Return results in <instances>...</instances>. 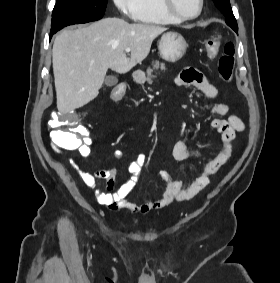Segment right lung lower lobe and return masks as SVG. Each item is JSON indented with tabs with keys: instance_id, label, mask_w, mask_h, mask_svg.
<instances>
[{
	"instance_id": "98d812e1",
	"label": "right lung lower lobe",
	"mask_w": 280,
	"mask_h": 283,
	"mask_svg": "<svg viewBox=\"0 0 280 283\" xmlns=\"http://www.w3.org/2000/svg\"><path fill=\"white\" fill-rule=\"evenodd\" d=\"M56 32H51V34H55Z\"/></svg>"
}]
</instances>
